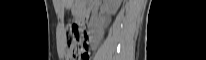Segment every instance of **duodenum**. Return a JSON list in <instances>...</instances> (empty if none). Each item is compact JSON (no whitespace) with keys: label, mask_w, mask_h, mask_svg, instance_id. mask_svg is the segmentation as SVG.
I'll return each instance as SVG.
<instances>
[{"label":"duodenum","mask_w":206,"mask_h":60,"mask_svg":"<svg viewBox=\"0 0 206 60\" xmlns=\"http://www.w3.org/2000/svg\"><path fill=\"white\" fill-rule=\"evenodd\" d=\"M88 24H90V19H87V17H84L82 19V23L80 24L81 28H88Z\"/></svg>","instance_id":"1"}]
</instances>
